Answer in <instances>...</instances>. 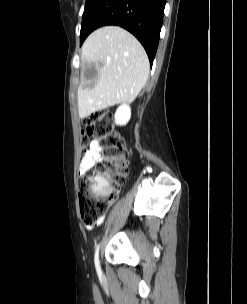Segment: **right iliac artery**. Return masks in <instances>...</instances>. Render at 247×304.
<instances>
[{
  "label": "right iliac artery",
  "mask_w": 247,
  "mask_h": 304,
  "mask_svg": "<svg viewBox=\"0 0 247 304\" xmlns=\"http://www.w3.org/2000/svg\"><path fill=\"white\" fill-rule=\"evenodd\" d=\"M99 247H100V244H98L96 247L94 262H95V267H96L97 273L99 276H101L102 273H101L100 261H99Z\"/></svg>",
  "instance_id": "82829eb1"
}]
</instances>
